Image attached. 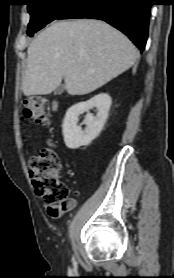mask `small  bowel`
Here are the masks:
<instances>
[{
  "mask_svg": "<svg viewBox=\"0 0 174 278\" xmlns=\"http://www.w3.org/2000/svg\"><path fill=\"white\" fill-rule=\"evenodd\" d=\"M76 199L69 198L65 204L60 205H49L47 203L44 204V209L47 214L53 218H59L64 213L71 211L76 206Z\"/></svg>",
  "mask_w": 174,
  "mask_h": 278,
  "instance_id": "small-bowel-1",
  "label": "small bowel"
}]
</instances>
